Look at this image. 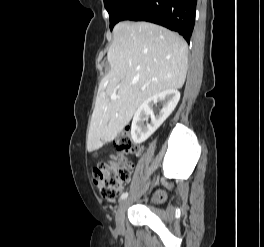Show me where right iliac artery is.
Returning <instances> with one entry per match:
<instances>
[{"label": "right iliac artery", "mask_w": 264, "mask_h": 247, "mask_svg": "<svg viewBox=\"0 0 264 247\" xmlns=\"http://www.w3.org/2000/svg\"><path fill=\"white\" fill-rule=\"evenodd\" d=\"M127 196H128V193H127V192L123 193V194L121 195V197H120V200H124V199H126Z\"/></svg>", "instance_id": "right-iliac-artery-1"}]
</instances>
